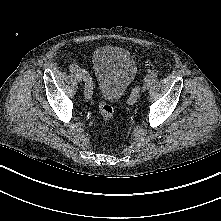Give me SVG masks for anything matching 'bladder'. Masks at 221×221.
I'll return each instance as SVG.
<instances>
[{
  "label": "bladder",
  "instance_id": "1",
  "mask_svg": "<svg viewBox=\"0 0 221 221\" xmlns=\"http://www.w3.org/2000/svg\"><path fill=\"white\" fill-rule=\"evenodd\" d=\"M92 66L98 91L106 102L118 101L137 73L133 56L126 49L112 45L95 50Z\"/></svg>",
  "mask_w": 221,
  "mask_h": 221
}]
</instances>
